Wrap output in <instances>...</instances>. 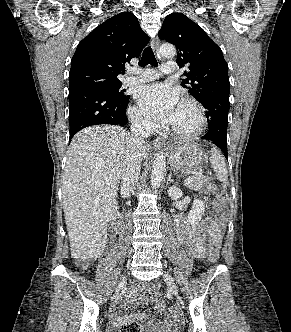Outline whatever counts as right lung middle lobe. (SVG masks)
<instances>
[{"mask_svg": "<svg viewBox=\"0 0 291 332\" xmlns=\"http://www.w3.org/2000/svg\"><path fill=\"white\" fill-rule=\"evenodd\" d=\"M121 86H122L121 82L110 83V82H106V81H98V82H95L90 87L102 88L116 100L123 101V100L128 99L129 96L125 95L126 90L122 89Z\"/></svg>", "mask_w": 291, "mask_h": 332, "instance_id": "1", "label": "right lung middle lobe"}]
</instances>
